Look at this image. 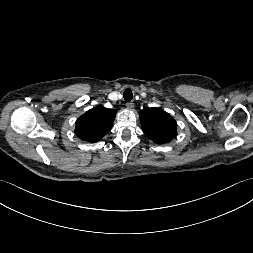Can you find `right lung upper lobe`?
<instances>
[{
	"label": "right lung upper lobe",
	"instance_id": "1",
	"mask_svg": "<svg viewBox=\"0 0 253 253\" xmlns=\"http://www.w3.org/2000/svg\"><path fill=\"white\" fill-rule=\"evenodd\" d=\"M115 115L114 109L92 108L77 119L75 134L82 140L95 143L110 131Z\"/></svg>",
	"mask_w": 253,
	"mask_h": 253
}]
</instances>
